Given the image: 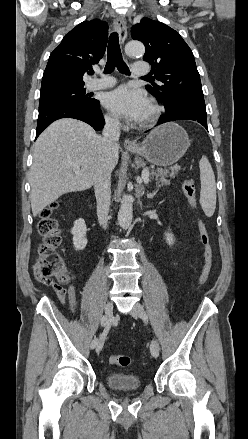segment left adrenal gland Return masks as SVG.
I'll return each instance as SVG.
<instances>
[{
  "instance_id": "1",
  "label": "left adrenal gland",
  "mask_w": 248,
  "mask_h": 439,
  "mask_svg": "<svg viewBox=\"0 0 248 439\" xmlns=\"http://www.w3.org/2000/svg\"><path fill=\"white\" fill-rule=\"evenodd\" d=\"M156 192H157V191H154V192H152V193H147V198L152 199V198L156 195Z\"/></svg>"
}]
</instances>
